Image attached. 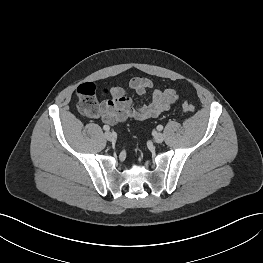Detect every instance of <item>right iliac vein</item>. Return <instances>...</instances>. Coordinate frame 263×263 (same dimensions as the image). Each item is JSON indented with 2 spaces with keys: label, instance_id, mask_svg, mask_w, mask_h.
I'll use <instances>...</instances> for the list:
<instances>
[{
  "label": "right iliac vein",
  "instance_id": "obj_1",
  "mask_svg": "<svg viewBox=\"0 0 263 263\" xmlns=\"http://www.w3.org/2000/svg\"><path fill=\"white\" fill-rule=\"evenodd\" d=\"M104 137L108 140V141H114L115 140V136L113 133L111 132H106L104 134Z\"/></svg>",
  "mask_w": 263,
  "mask_h": 263
}]
</instances>
